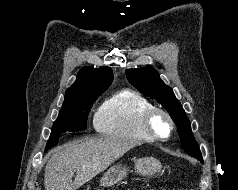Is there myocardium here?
Returning a JSON list of instances; mask_svg holds the SVG:
<instances>
[{
    "instance_id": "1",
    "label": "myocardium",
    "mask_w": 238,
    "mask_h": 190,
    "mask_svg": "<svg viewBox=\"0 0 238 190\" xmlns=\"http://www.w3.org/2000/svg\"><path fill=\"white\" fill-rule=\"evenodd\" d=\"M161 117L167 123V131L165 133L159 132L155 127V120ZM142 125L149 136L156 140H166L170 137L174 122L170 114L162 108L151 107L142 116Z\"/></svg>"
}]
</instances>
